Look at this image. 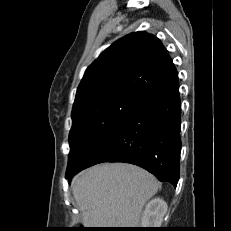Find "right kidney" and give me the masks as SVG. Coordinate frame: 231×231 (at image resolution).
<instances>
[{
    "mask_svg": "<svg viewBox=\"0 0 231 231\" xmlns=\"http://www.w3.org/2000/svg\"><path fill=\"white\" fill-rule=\"evenodd\" d=\"M167 212V204L161 198H154L146 205L141 224L145 228H159Z\"/></svg>",
    "mask_w": 231,
    "mask_h": 231,
    "instance_id": "obj_1",
    "label": "right kidney"
}]
</instances>
